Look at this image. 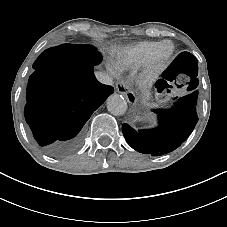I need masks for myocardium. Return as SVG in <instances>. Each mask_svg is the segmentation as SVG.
Listing matches in <instances>:
<instances>
[{
    "label": "myocardium",
    "instance_id": "myocardium-1",
    "mask_svg": "<svg viewBox=\"0 0 227 227\" xmlns=\"http://www.w3.org/2000/svg\"><path fill=\"white\" fill-rule=\"evenodd\" d=\"M174 53V45L169 41L163 42L144 68L142 72L143 81L149 84L156 82L168 67Z\"/></svg>",
    "mask_w": 227,
    "mask_h": 227
}]
</instances>
